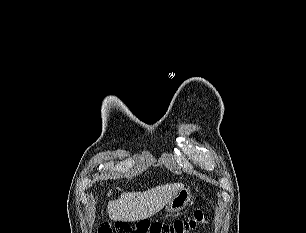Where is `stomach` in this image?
<instances>
[{
    "label": "stomach",
    "instance_id": "0dacf381",
    "mask_svg": "<svg viewBox=\"0 0 306 233\" xmlns=\"http://www.w3.org/2000/svg\"><path fill=\"white\" fill-rule=\"evenodd\" d=\"M192 194L189 188H182L173 199L165 206L167 212H178L182 210L191 200Z\"/></svg>",
    "mask_w": 306,
    "mask_h": 233
}]
</instances>
